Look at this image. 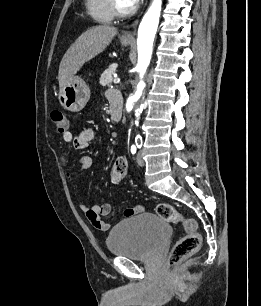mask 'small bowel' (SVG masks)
I'll return each mask as SVG.
<instances>
[{"label": "small bowel", "mask_w": 261, "mask_h": 306, "mask_svg": "<svg viewBox=\"0 0 261 306\" xmlns=\"http://www.w3.org/2000/svg\"><path fill=\"white\" fill-rule=\"evenodd\" d=\"M108 97L111 102L113 100L121 101V96L117 92L108 93ZM94 139H95V131L91 128H83L76 134H73L70 131H66L63 133V140L66 143L72 144L73 148L77 150L87 149L94 141ZM66 162L67 159L65 157L63 159V163ZM92 162L93 161L90 156L84 155L78 158L77 165L82 172H85L92 166ZM65 174L68 178H71L72 176V172L69 169L66 170ZM80 209L85 213L86 217L95 228L101 231H107L108 229H110L111 224L104 221L103 217H106L111 213L112 211L111 204L105 203L102 205L87 206L86 204L81 203ZM141 209L142 208L140 206L129 208L124 212V216L126 217L133 216L139 213Z\"/></svg>", "instance_id": "obj_1"}]
</instances>
